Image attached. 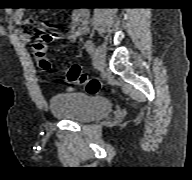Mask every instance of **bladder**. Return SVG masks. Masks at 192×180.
<instances>
[{
	"label": "bladder",
	"instance_id": "1",
	"mask_svg": "<svg viewBox=\"0 0 192 180\" xmlns=\"http://www.w3.org/2000/svg\"><path fill=\"white\" fill-rule=\"evenodd\" d=\"M49 108L55 119L80 124L105 117L112 111V104L104 97L73 92L53 96Z\"/></svg>",
	"mask_w": 192,
	"mask_h": 180
}]
</instances>
